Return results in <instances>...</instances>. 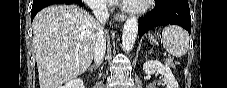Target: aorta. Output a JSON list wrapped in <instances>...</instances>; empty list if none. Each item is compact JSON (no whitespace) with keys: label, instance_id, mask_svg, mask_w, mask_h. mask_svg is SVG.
Here are the masks:
<instances>
[{"label":"aorta","instance_id":"obj_1","mask_svg":"<svg viewBox=\"0 0 227 88\" xmlns=\"http://www.w3.org/2000/svg\"><path fill=\"white\" fill-rule=\"evenodd\" d=\"M138 34V20L135 16H130L123 27L122 46L127 52L132 50Z\"/></svg>","mask_w":227,"mask_h":88}]
</instances>
